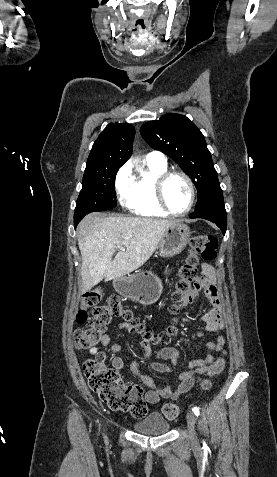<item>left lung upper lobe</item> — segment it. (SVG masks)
I'll return each mask as SVG.
<instances>
[{
    "label": "left lung upper lobe",
    "mask_w": 277,
    "mask_h": 477,
    "mask_svg": "<svg viewBox=\"0 0 277 477\" xmlns=\"http://www.w3.org/2000/svg\"><path fill=\"white\" fill-rule=\"evenodd\" d=\"M140 132L153 149L172 158L193 180L198 191L195 210L222 191L204 136L186 116L168 113L144 123Z\"/></svg>",
    "instance_id": "left-lung-upper-lobe-1"
}]
</instances>
